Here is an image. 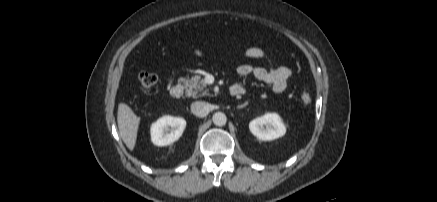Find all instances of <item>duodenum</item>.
Listing matches in <instances>:
<instances>
[{"label":"duodenum","mask_w":437,"mask_h":202,"mask_svg":"<svg viewBox=\"0 0 437 202\" xmlns=\"http://www.w3.org/2000/svg\"><path fill=\"white\" fill-rule=\"evenodd\" d=\"M183 93H184V87L182 84H175L170 89V94L175 99L181 98L183 96ZM229 94L235 97L237 95H240V91L235 87H231L229 90Z\"/></svg>","instance_id":"duodenum-1"}]
</instances>
